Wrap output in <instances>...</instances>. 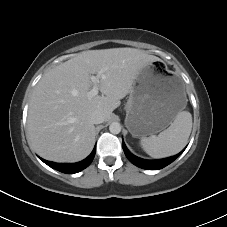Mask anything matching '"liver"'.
I'll return each instance as SVG.
<instances>
[{"mask_svg":"<svg viewBox=\"0 0 227 227\" xmlns=\"http://www.w3.org/2000/svg\"><path fill=\"white\" fill-rule=\"evenodd\" d=\"M160 60L135 48L88 50L47 72L29 104L27 131L35 151L55 162H78L95 143L90 117L96 110L108 121L120 100L130 93L139 70ZM102 93L92 98L91 74H99Z\"/></svg>","mask_w":227,"mask_h":227,"instance_id":"liver-1","label":"liver"}]
</instances>
